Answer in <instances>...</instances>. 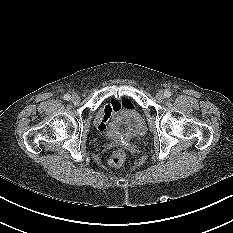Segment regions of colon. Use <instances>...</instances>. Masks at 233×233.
I'll return each instance as SVG.
<instances>
[{"mask_svg": "<svg viewBox=\"0 0 233 233\" xmlns=\"http://www.w3.org/2000/svg\"><path fill=\"white\" fill-rule=\"evenodd\" d=\"M125 161V153L121 149H117L114 151L112 156L109 159V165L112 167H119Z\"/></svg>", "mask_w": 233, "mask_h": 233, "instance_id": "5ec220e1", "label": "colon"}]
</instances>
